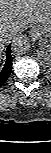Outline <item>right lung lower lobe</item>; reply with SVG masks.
I'll list each match as a JSON object with an SVG mask.
<instances>
[{"mask_svg": "<svg viewBox=\"0 0 51 153\" xmlns=\"http://www.w3.org/2000/svg\"><path fill=\"white\" fill-rule=\"evenodd\" d=\"M12 56L11 46L9 45L6 50V61L3 69L0 71V87L7 81L9 75L12 72Z\"/></svg>", "mask_w": 51, "mask_h": 153, "instance_id": "1", "label": "right lung lower lobe"}]
</instances>
